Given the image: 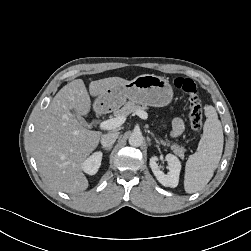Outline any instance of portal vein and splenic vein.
I'll return each instance as SVG.
<instances>
[{
	"label": "portal vein and splenic vein",
	"mask_w": 251,
	"mask_h": 251,
	"mask_svg": "<svg viewBox=\"0 0 251 251\" xmlns=\"http://www.w3.org/2000/svg\"><path fill=\"white\" fill-rule=\"evenodd\" d=\"M135 114L144 120L148 118L147 113L143 110L136 111ZM125 121H126V116H117L115 118H111V119H108V120L101 122L100 129L112 130L117 127H120Z\"/></svg>",
	"instance_id": "portal-vein-and-splenic-vein-1"
}]
</instances>
